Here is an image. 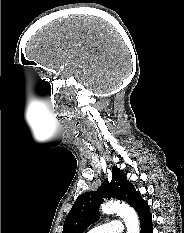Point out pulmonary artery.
Listing matches in <instances>:
<instances>
[{
	"label": "pulmonary artery",
	"instance_id": "1",
	"mask_svg": "<svg viewBox=\"0 0 184 233\" xmlns=\"http://www.w3.org/2000/svg\"><path fill=\"white\" fill-rule=\"evenodd\" d=\"M123 226L119 221H110L100 226H97L88 233H122Z\"/></svg>",
	"mask_w": 184,
	"mask_h": 233
}]
</instances>
